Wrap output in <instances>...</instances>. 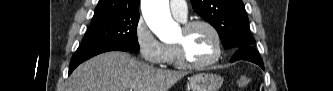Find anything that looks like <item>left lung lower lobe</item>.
I'll return each mask as SVG.
<instances>
[{"instance_id": "0a47b994", "label": "left lung lower lobe", "mask_w": 333, "mask_h": 91, "mask_svg": "<svg viewBox=\"0 0 333 91\" xmlns=\"http://www.w3.org/2000/svg\"><path fill=\"white\" fill-rule=\"evenodd\" d=\"M236 60H247L254 62L264 69L263 61L259 57L257 51L253 46H243L234 50V55L231 62Z\"/></svg>"}]
</instances>
